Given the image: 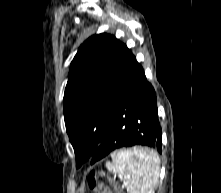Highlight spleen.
<instances>
[{"mask_svg": "<svg viewBox=\"0 0 221 193\" xmlns=\"http://www.w3.org/2000/svg\"><path fill=\"white\" fill-rule=\"evenodd\" d=\"M111 157L112 162H107L106 167L123 181L127 193H154L160 171V159L155 151L124 146Z\"/></svg>", "mask_w": 221, "mask_h": 193, "instance_id": "1", "label": "spleen"}]
</instances>
